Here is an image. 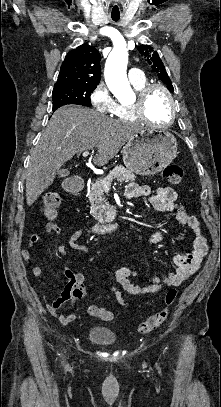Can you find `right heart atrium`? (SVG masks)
<instances>
[{"label":"right heart atrium","instance_id":"1","mask_svg":"<svg viewBox=\"0 0 221 407\" xmlns=\"http://www.w3.org/2000/svg\"><path fill=\"white\" fill-rule=\"evenodd\" d=\"M90 102L96 111L103 114H112L117 107V102L103 82L99 83L91 92Z\"/></svg>","mask_w":221,"mask_h":407}]
</instances>
